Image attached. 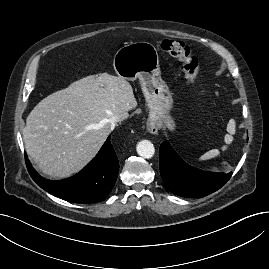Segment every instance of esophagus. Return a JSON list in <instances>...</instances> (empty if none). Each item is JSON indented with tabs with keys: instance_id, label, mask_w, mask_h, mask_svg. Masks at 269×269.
Listing matches in <instances>:
<instances>
[{
	"instance_id": "obj_1",
	"label": "esophagus",
	"mask_w": 269,
	"mask_h": 269,
	"mask_svg": "<svg viewBox=\"0 0 269 269\" xmlns=\"http://www.w3.org/2000/svg\"><path fill=\"white\" fill-rule=\"evenodd\" d=\"M147 130L151 134H156L159 130V126L155 119H149L147 122Z\"/></svg>"
}]
</instances>
